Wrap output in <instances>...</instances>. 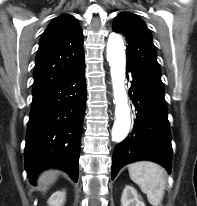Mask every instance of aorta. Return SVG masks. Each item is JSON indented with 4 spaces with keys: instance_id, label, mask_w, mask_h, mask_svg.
Segmentation results:
<instances>
[{
    "instance_id": "762f6f07",
    "label": "aorta",
    "mask_w": 197,
    "mask_h": 206,
    "mask_svg": "<svg viewBox=\"0 0 197 206\" xmlns=\"http://www.w3.org/2000/svg\"><path fill=\"white\" fill-rule=\"evenodd\" d=\"M107 61L110 65L115 104L112 139L121 142L129 132L131 118L125 89V46L122 38L115 33H112L108 39Z\"/></svg>"
}]
</instances>
